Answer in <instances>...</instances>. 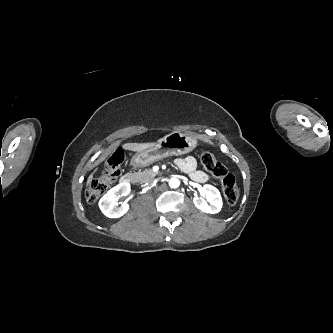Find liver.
I'll list each match as a JSON object with an SVG mask.
<instances>
[{"mask_svg":"<svg viewBox=\"0 0 333 333\" xmlns=\"http://www.w3.org/2000/svg\"><path fill=\"white\" fill-rule=\"evenodd\" d=\"M156 143H126L122 147L124 150H130L135 152H141L153 147ZM96 171V170H95ZM94 171V172H95ZM93 179V173L87 179V186H89Z\"/></svg>","mask_w":333,"mask_h":333,"instance_id":"6515ba94","label":"liver"}]
</instances>
